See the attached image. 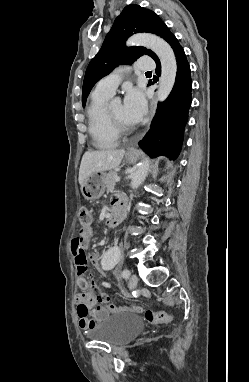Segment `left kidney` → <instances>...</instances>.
<instances>
[{"label": "left kidney", "mask_w": 249, "mask_h": 382, "mask_svg": "<svg viewBox=\"0 0 249 382\" xmlns=\"http://www.w3.org/2000/svg\"><path fill=\"white\" fill-rule=\"evenodd\" d=\"M107 251L111 252L108 254V260H94L92 262L93 267H101V271L105 273H112L113 267H120V246L119 245H108ZM106 258V257H103Z\"/></svg>", "instance_id": "left-kidney-1"}]
</instances>
